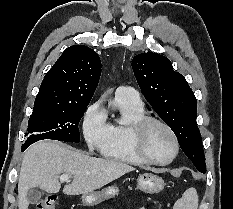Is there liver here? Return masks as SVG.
<instances>
[{
    "mask_svg": "<svg viewBox=\"0 0 233 209\" xmlns=\"http://www.w3.org/2000/svg\"><path fill=\"white\" fill-rule=\"evenodd\" d=\"M135 168L110 159L95 158L63 144L40 141L30 146L23 157L18 180V208L28 209L27 193L40 188L47 193H58L59 176L73 177L63 193L80 195L94 192Z\"/></svg>",
    "mask_w": 233,
    "mask_h": 209,
    "instance_id": "liver-1",
    "label": "liver"
}]
</instances>
